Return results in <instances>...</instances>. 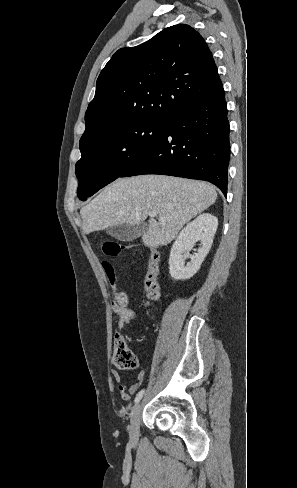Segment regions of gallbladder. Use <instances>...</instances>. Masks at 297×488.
<instances>
[{
  "instance_id": "gallbladder-1",
  "label": "gallbladder",
  "mask_w": 297,
  "mask_h": 488,
  "mask_svg": "<svg viewBox=\"0 0 297 488\" xmlns=\"http://www.w3.org/2000/svg\"><path fill=\"white\" fill-rule=\"evenodd\" d=\"M147 230V224H122L112 226L106 230L107 234L121 242L132 241L142 236Z\"/></svg>"
}]
</instances>
